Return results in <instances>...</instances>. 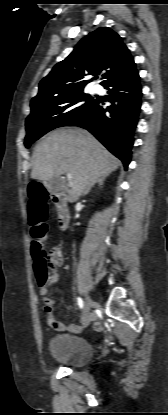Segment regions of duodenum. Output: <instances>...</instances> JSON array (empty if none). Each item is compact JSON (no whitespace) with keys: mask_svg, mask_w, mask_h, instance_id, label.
Here are the masks:
<instances>
[{"mask_svg":"<svg viewBox=\"0 0 168 415\" xmlns=\"http://www.w3.org/2000/svg\"><path fill=\"white\" fill-rule=\"evenodd\" d=\"M53 202L57 211L58 226L61 230H66L70 223V212L63 193H54Z\"/></svg>","mask_w":168,"mask_h":415,"instance_id":"duodenum-1","label":"duodenum"}]
</instances>
